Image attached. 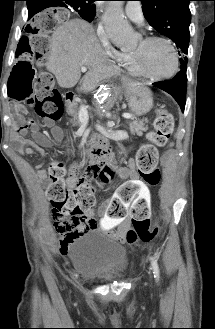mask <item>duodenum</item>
I'll use <instances>...</instances> for the list:
<instances>
[{
    "label": "duodenum",
    "instance_id": "1",
    "mask_svg": "<svg viewBox=\"0 0 215 329\" xmlns=\"http://www.w3.org/2000/svg\"><path fill=\"white\" fill-rule=\"evenodd\" d=\"M63 99L67 104H70L74 99V94L66 92ZM88 155L94 166L111 163L113 160L108 143L101 139L95 140V146L89 150Z\"/></svg>",
    "mask_w": 215,
    "mask_h": 329
}]
</instances>
